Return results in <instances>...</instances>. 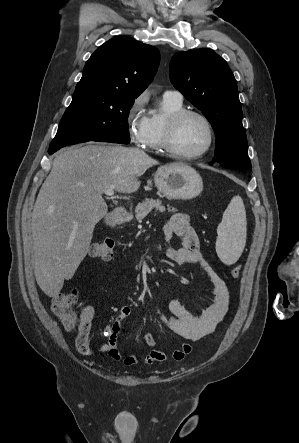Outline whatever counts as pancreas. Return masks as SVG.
Returning <instances> with one entry per match:
<instances>
[{
	"label": "pancreas",
	"instance_id": "pancreas-1",
	"mask_svg": "<svg viewBox=\"0 0 299 443\" xmlns=\"http://www.w3.org/2000/svg\"><path fill=\"white\" fill-rule=\"evenodd\" d=\"M153 209L159 212H165V207L161 204L160 200L145 199L142 203L138 204L135 208V217L138 221L144 219ZM168 211L175 212L176 209L168 206Z\"/></svg>",
	"mask_w": 299,
	"mask_h": 443
}]
</instances>
